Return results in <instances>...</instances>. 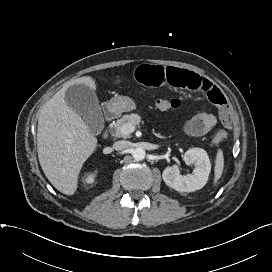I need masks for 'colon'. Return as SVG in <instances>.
Segmentation results:
<instances>
[{"label":"colon","mask_w":272,"mask_h":272,"mask_svg":"<svg viewBox=\"0 0 272 272\" xmlns=\"http://www.w3.org/2000/svg\"><path fill=\"white\" fill-rule=\"evenodd\" d=\"M154 105H155V108L160 111H167V110H174L179 108L181 106V102L180 100L175 98H162V99H157ZM226 139H227V133L223 129L218 130L213 136V141L215 143L223 142Z\"/></svg>","instance_id":"obj_1"}]
</instances>
